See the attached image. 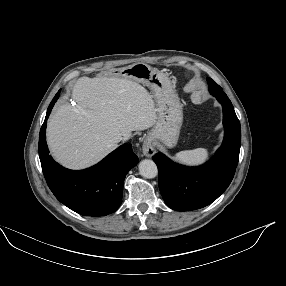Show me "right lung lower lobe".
Returning <instances> with one entry per match:
<instances>
[{
  "label": "right lung lower lobe",
  "mask_w": 286,
  "mask_h": 286,
  "mask_svg": "<svg viewBox=\"0 0 286 286\" xmlns=\"http://www.w3.org/2000/svg\"><path fill=\"white\" fill-rule=\"evenodd\" d=\"M60 91L50 103L39 135V158L50 190L68 208L85 216L115 212L122 202L126 174L138 163L131 144H123L97 165L74 171L56 163L46 144V124Z\"/></svg>",
  "instance_id": "98d812e1"
}]
</instances>
